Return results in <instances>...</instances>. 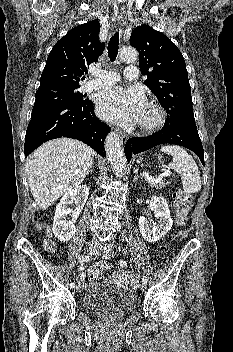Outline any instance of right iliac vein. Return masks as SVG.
<instances>
[{
    "mask_svg": "<svg viewBox=\"0 0 233 352\" xmlns=\"http://www.w3.org/2000/svg\"><path fill=\"white\" fill-rule=\"evenodd\" d=\"M98 251V248L96 247V246H94V245H92V244H90V245H88V247H87V252L89 253V254H96V252ZM74 290L76 291V292H78V291H80V286L79 285H77V286H75L74 287Z\"/></svg>",
    "mask_w": 233,
    "mask_h": 352,
    "instance_id": "obj_1",
    "label": "right iliac vein"
}]
</instances>
